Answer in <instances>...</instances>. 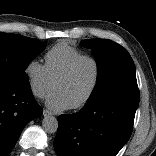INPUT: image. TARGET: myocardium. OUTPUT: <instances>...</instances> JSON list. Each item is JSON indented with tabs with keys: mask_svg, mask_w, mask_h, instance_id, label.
<instances>
[{
	"mask_svg": "<svg viewBox=\"0 0 156 156\" xmlns=\"http://www.w3.org/2000/svg\"><path fill=\"white\" fill-rule=\"evenodd\" d=\"M85 60L91 61L95 67L94 81H93V84H92L91 88L89 89L88 93L85 95V97L83 99H81L78 103L72 105L71 106L72 109H80V108L86 106L91 101L93 96L95 95V93L98 89V86L100 84V80H101V64H100L99 60L92 55L83 54V55L75 58L69 64V66L65 69V71L54 81L53 87L55 89L56 85L59 82H62L64 80L70 78L71 75L76 70V68L78 67V65L82 61H85Z\"/></svg>",
	"mask_w": 156,
	"mask_h": 156,
	"instance_id": "obj_1",
	"label": "myocardium"
}]
</instances>
